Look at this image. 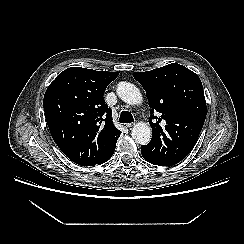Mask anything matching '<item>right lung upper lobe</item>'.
<instances>
[{"mask_svg": "<svg viewBox=\"0 0 244 244\" xmlns=\"http://www.w3.org/2000/svg\"><path fill=\"white\" fill-rule=\"evenodd\" d=\"M118 75L70 67L45 92L43 107L50 133L76 164H102L115 150L121 131L114 126L102 96Z\"/></svg>", "mask_w": 244, "mask_h": 244, "instance_id": "cb5924a9", "label": "right lung upper lobe"}]
</instances>
